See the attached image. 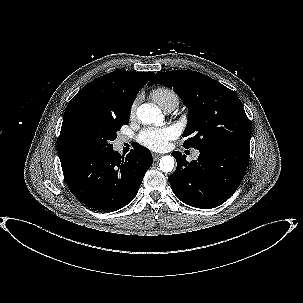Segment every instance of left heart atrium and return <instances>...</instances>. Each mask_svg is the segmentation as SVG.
Listing matches in <instances>:
<instances>
[{"label": "left heart atrium", "instance_id": "1", "mask_svg": "<svg viewBox=\"0 0 303 303\" xmlns=\"http://www.w3.org/2000/svg\"><path fill=\"white\" fill-rule=\"evenodd\" d=\"M177 135L178 132L173 126L148 127L140 132L138 142L150 150L162 151L168 148L169 142Z\"/></svg>", "mask_w": 303, "mask_h": 303}]
</instances>
